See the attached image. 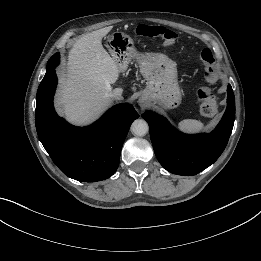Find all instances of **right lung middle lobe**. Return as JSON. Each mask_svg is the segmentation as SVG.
Wrapping results in <instances>:
<instances>
[{
  "instance_id": "1",
  "label": "right lung middle lobe",
  "mask_w": 261,
  "mask_h": 261,
  "mask_svg": "<svg viewBox=\"0 0 261 261\" xmlns=\"http://www.w3.org/2000/svg\"><path fill=\"white\" fill-rule=\"evenodd\" d=\"M58 62H59V54L56 53V54H54V55L50 58V60H49L48 63H47V72H48L50 69H54L55 66L58 65ZM47 72H46V74H45V76H44V78H43V80H42V82H41V84H40L39 87H41L42 85H44V83L46 82Z\"/></svg>"
}]
</instances>
